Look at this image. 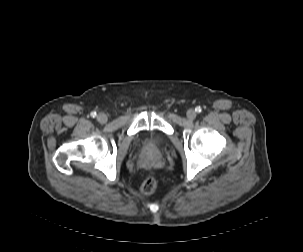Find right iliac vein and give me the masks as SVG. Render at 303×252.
Instances as JSON below:
<instances>
[{
    "label": "right iliac vein",
    "instance_id": "1",
    "mask_svg": "<svg viewBox=\"0 0 303 252\" xmlns=\"http://www.w3.org/2000/svg\"><path fill=\"white\" fill-rule=\"evenodd\" d=\"M108 120V117L106 114L104 113H99L97 116V121L101 124H105Z\"/></svg>",
    "mask_w": 303,
    "mask_h": 252
}]
</instances>
